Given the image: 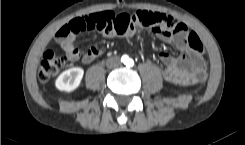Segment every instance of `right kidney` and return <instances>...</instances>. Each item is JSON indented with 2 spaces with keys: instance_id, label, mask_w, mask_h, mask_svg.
Here are the masks:
<instances>
[{
  "instance_id": "1",
  "label": "right kidney",
  "mask_w": 245,
  "mask_h": 145,
  "mask_svg": "<svg viewBox=\"0 0 245 145\" xmlns=\"http://www.w3.org/2000/svg\"><path fill=\"white\" fill-rule=\"evenodd\" d=\"M84 70L73 67L62 72L55 81V87L60 91L71 92L75 90L83 78Z\"/></svg>"
}]
</instances>
